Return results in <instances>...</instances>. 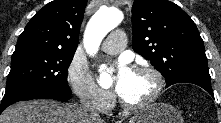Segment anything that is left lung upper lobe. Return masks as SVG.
Returning a JSON list of instances; mask_svg holds the SVG:
<instances>
[{"instance_id": "obj_1", "label": "left lung upper lobe", "mask_w": 221, "mask_h": 123, "mask_svg": "<svg viewBox=\"0 0 221 123\" xmlns=\"http://www.w3.org/2000/svg\"><path fill=\"white\" fill-rule=\"evenodd\" d=\"M132 46L150 60L166 84L186 77L210 80L205 48L192 19L168 0H135Z\"/></svg>"}]
</instances>
